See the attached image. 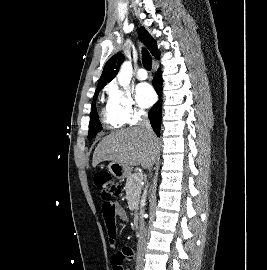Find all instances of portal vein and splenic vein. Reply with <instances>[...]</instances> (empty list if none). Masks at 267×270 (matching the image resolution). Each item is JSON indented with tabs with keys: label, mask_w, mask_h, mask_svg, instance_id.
Here are the masks:
<instances>
[{
	"label": "portal vein and splenic vein",
	"mask_w": 267,
	"mask_h": 270,
	"mask_svg": "<svg viewBox=\"0 0 267 270\" xmlns=\"http://www.w3.org/2000/svg\"><path fill=\"white\" fill-rule=\"evenodd\" d=\"M143 179V174L140 173L139 176L136 178L137 181H142Z\"/></svg>",
	"instance_id": "obj_1"
}]
</instances>
